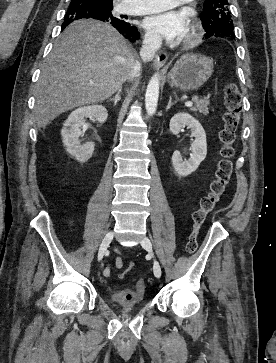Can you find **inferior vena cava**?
<instances>
[{"instance_id": "602c4592", "label": "inferior vena cava", "mask_w": 276, "mask_h": 363, "mask_svg": "<svg viewBox=\"0 0 276 363\" xmlns=\"http://www.w3.org/2000/svg\"><path fill=\"white\" fill-rule=\"evenodd\" d=\"M162 38L158 35L147 34L144 37L143 45L140 50V57L143 61H150L155 52L161 47ZM141 64L136 61L132 65L131 77H134L140 73Z\"/></svg>"}]
</instances>
